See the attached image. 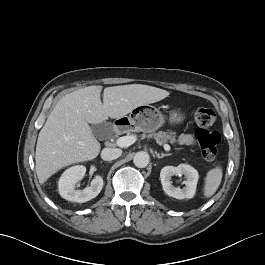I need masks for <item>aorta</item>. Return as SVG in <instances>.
<instances>
[{
	"mask_svg": "<svg viewBox=\"0 0 265 265\" xmlns=\"http://www.w3.org/2000/svg\"><path fill=\"white\" fill-rule=\"evenodd\" d=\"M149 154L147 152L141 151L137 152L134 156V165L138 168H145L149 163Z\"/></svg>",
	"mask_w": 265,
	"mask_h": 265,
	"instance_id": "1",
	"label": "aorta"
}]
</instances>
